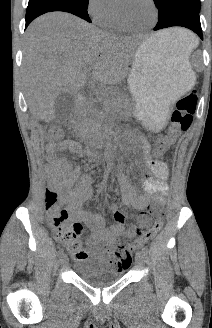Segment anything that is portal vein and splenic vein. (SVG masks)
Segmentation results:
<instances>
[{"label":"portal vein and splenic vein","mask_w":212,"mask_h":328,"mask_svg":"<svg viewBox=\"0 0 212 328\" xmlns=\"http://www.w3.org/2000/svg\"><path fill=\"white\" fill-rule=\"evenodd\" d=\"M91 69V67H87L86 70L89 71Z\"/></svg>","instance_id":"portal-vein-and-splenic-vein-1"}]
</instances>
